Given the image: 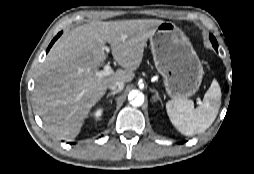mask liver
I'll list each match as a JSON object with an SVG mask.
<instances>
[{
  "mask_svg": "<svg viewBox=\"0 0 254 174\" xmlns=\"http://www.w3.org/2000/svg\"><path fill=\"white\" fill-rule=\"evenodd\" d=\"M158 19L94 21L65 34L49 51L36 77L35 109L46 129L71 141L81 131L90 110L115 81L129 83L139 68L147 40L163 23ZM105 43L124 69L98 77L106 59Z\"/></svg>",
  "mask_w": 254,
  "mask_h": 174,
  "instance_id": "6515ba94",
  "label": "liver"
}]
</instances>
